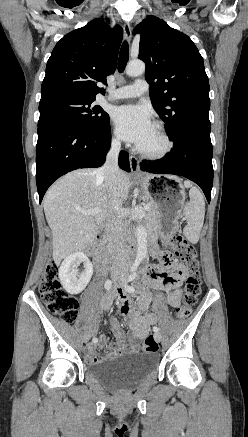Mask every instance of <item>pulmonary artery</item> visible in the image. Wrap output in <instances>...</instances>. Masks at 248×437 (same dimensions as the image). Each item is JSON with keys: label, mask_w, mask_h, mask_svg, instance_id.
Listing matches in <instances>:
<instances>
[{"label": "pulmonary artery", "mask_w": 248, "mask_h": 437, "mask_svg": "<svg viewBox=\"0 0 248 437\" xmlns=\"http://www.w3.org/2000/svg\"><path fill=\"white\" fill-rule=\"evenodd\" d=\"M148 91V83L144 79H137L132 85L118 88L108 99H125L141 96Z\"/></svg>", "instance_id": "pulmonary-artery-1"}]
</instances>
